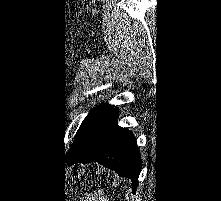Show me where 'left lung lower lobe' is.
<instances>
[{
    "label": "left lung lower lobe",
    "instance_id": "0a47b994",
    "mask_svg": "<svg viewBox=\"0 0 221 201\" xmlns=\"http://www.w3.org/2000/svg\"><path fill=\"white\" fill-rule=\"evenodd\" d=\"M118 114L117 109L111 110L89 145L66 159V162L69 164L98 162L115 170L119 176L130 178L132 191L135 193L142 166L141 157L134 135L117 125Z\"/></svg>",
    "mask_w": 221,
    "mask_h": 201
}]
</instances>
